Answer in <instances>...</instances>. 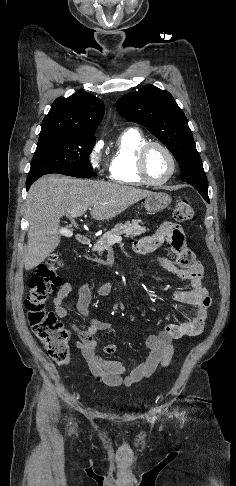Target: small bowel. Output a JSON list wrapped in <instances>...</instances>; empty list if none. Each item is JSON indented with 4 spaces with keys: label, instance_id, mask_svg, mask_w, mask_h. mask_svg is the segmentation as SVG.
I'll use <instances>...</instances> for the list:
<instances>
[{
    "label": "small bowel",
    "instance_id": "small-bowel-1",
    "mask_svg": "<svg viewBox=\"0 0 236 486\" xmlns=\"http://www.w3.org/2000/svg\"><path fill=\"white\" fill-rule=\"evenodd\" d=\"M166 243L170 244L176 254V263L166 258H160L156 264L158 267L189 282L190 289L174 292L173 299L179 303L190 305L195 310L189 319L180 323L169 324L157 334L150 335L145 342L148 350L147 356L130 371H127L120 361L105 359L97 353L96 335L111 330L112 324L92 316L90 312L91 284L85 283L78 290L76 309L89 321V326L86 330H82L72 322L68 321V324L79 338L76 342L77 349L82 353L92 375L99 383L110 387L140 383L154 372L169 365L174 351V340L184 336H197L204 330L211 301L203 283V266L186 246L185 235L181 226L171 221L163 222L155 233L137 240L134 243V250L139 254H147L162 248ZM112 289L113 284L107 282L99 286L96 292L100 296H105ZM71 291V284L64 283L53 299L55 313L60 318L65 319L67 317L68 313L64 301ZM115 350L116 346L110 344L103 349V352L106 355H111Z\"/></svg>",
    "mask_w": 236,
    "mask_h": 486
}]
</instances>
